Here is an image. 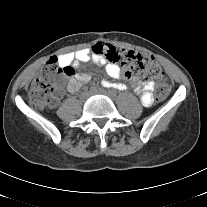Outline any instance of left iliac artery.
Returning <instances> with one entry per match:
<instances>
[{
	"mask_svg": "<svg viewBox=\"0 0 207 207\" xmlns=\"http://www.w3.org/2000/svg\"><path fill=\"white\" fill-rule=\"evenodd\" d=\"M113 86L119 90H126L127 89V86L125 84H114Z\"/></svg>",
	"mask_w": 207,
	"mask_h": 207,
	"instance_id": "44dca946",
	"label": "left iliac artery"
}]
</instances>
